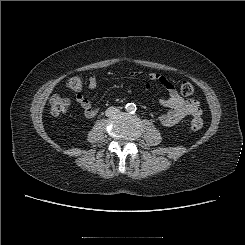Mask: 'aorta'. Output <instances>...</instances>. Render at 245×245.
Masks as SVG:
<instances>
[{
  "label": "aorta",
  "instance_id": "aorta-1",
  "mask_svg": "<svg viewBox=\"0 0 245 245\" xmlns=\"http://www.w3.org/2000/svg\"><path fill=\"white\" fill-rule=\"evenodd\" d=\"M136 104L134 103H127L125 106V110L129 113H134L136 112Z\"/></svg>",
  "mask_w": 245,
  "mask_h": 245
}]
</instances>
